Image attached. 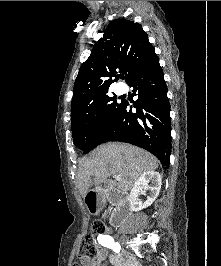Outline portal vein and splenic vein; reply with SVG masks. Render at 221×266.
I'll use <instances>...</instances> for the list:
<instances>
[{
    "label": "portal vein and splenic vein",
    "instance_id": "18ae733b",
    "mask_svg": "<svg viewBox=\"0 0 221 266\" xmlns=\"http://www.w3.org/2000/svg\"><path fill=\"white\" fill-rule=\"evenodd\" d=\"M114 178L119 181L121 179V176L120 175H115Z\"/></svg>",
    "mask_w": 221,
    "mask_h": 266
}]
</instances>
